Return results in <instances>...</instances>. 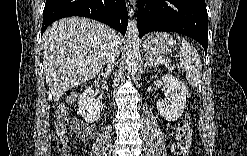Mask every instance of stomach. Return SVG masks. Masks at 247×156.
Listing matches in <instances>:
<instances>
[{
    "instance_id": "1",
    "label": "stomach",
    "mask_w": 247,
    "mask_h": 156,
    "mask_svg": "<svg viewBox=\"0 0 247 156\" xmlns=\"http://www.w3.org/2000/svg\"><path fill=\"white\" fill-rule=\"evenodd\" d=\"M174 45L173 37L164 32L152 33L144 41V50L151 57H158L170 51Z\"/></svg>"
}]
</instances>
